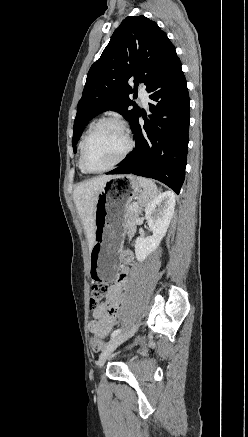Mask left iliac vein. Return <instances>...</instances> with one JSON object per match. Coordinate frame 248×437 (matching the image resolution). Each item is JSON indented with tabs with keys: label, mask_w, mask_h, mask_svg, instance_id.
<instances>
[{
	"label": "left iliac vein",
	"mask_w": 248,
	"mask_h": 437,
	"mask_svg": "<svg viewBox=\"0 0 248 437\" xmlns=\"http://www.w3.org/2000/svg\"><path fill=\"white\" fill-rule=\"evenodd\" d=\"M138 325L134 326L128 333L125 334H119L115 337H113L104 347L102 350L99 360H98V366L101 368L104 363L106 362L107 358L112 354V352L125 340H127L129 337L134 335V333L137 331Z\"/></svg>",
	"instance_id": "left-iliac-vein-1"
}]
</instances>
